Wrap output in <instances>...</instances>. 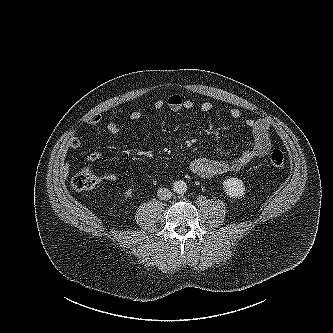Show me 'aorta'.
Returning a JSON list of instances; mask_svg holds the SVG:
<instances>
[{
	"instance_id": "obj_1",
	"label": "aorta",
	"mask_w": 333,
	"mask_h": 333,
	"mask_svg": "<svg viewBox=\"0 0 333 333\" xmlns=\"http://www.w3.org/2000/svg\"><path fill=\"white\" fill-rule=\"evenodd\" d=\"M173 189L177 194H184L187 191V184L182 180L175 181Z\"/></svg>"
}]
</instances>
